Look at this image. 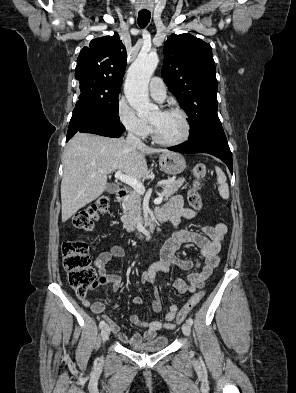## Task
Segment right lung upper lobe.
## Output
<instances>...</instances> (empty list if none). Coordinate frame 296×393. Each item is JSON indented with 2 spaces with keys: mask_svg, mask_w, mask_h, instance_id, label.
Returning <instances> with one entry per match:
<instances>
[{
  "mask_svg": "<svg viewBox=\"0 0 296 393\" xmlns=\"http://www.w3.org/2000/svg\"><path fill=\"white\" fill-rule=\"evenodd\" d=\"M126 68V49L115 33L93 39L84 47L75 68V78L80 83L93 82L110 90H119Z\"/></svg>",
  "mask_w": 296,
  "mask_h": 393,
  "instance_id": "right-lung-upper-lobe-1",
  "label": "right lung upper lobe"
}]
</instances>
